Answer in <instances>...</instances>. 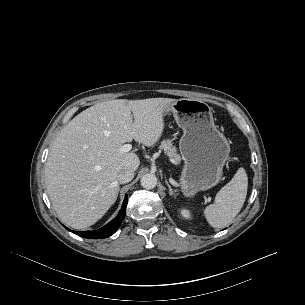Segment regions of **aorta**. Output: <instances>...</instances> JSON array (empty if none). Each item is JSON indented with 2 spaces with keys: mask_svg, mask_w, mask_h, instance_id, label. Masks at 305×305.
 <instances>
[{
  "mask_svg": "<svg viewBox=\"0 0 305 305\" xmlns=\"http://www.w3.org/2000/svg\"><path fill=\"white\" fill-rule=\"evenodd\" d=\"M141 186L145 189H153L157 185V177L154 174L148 173L142 176Z\"/></svg>",
  "mask_w": 305,
  "mask_h": 305,
  "instance_id": "1",
  "label": "aorta"
}]
</instances>
